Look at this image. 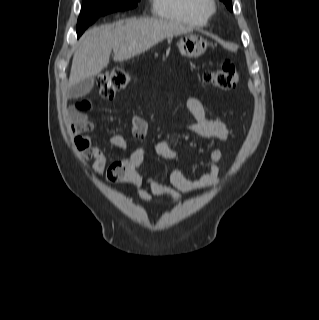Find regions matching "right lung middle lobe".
Returning a JSON list of instances; mask_svg holds the SVG:
<instances>
[{"label": "right lung middle lobe", "instance_id": "1", "mask_svg": "<svg viewBox=\"0 0 319 320\" xmlns=\"http://www.w3.org/2000/svg\"><path fill=\"white\" fill-rule=\"evenodd\" d=\"M139 0H83L77 23V36L91 25L99 16L135 8Z\"/></svg>", "mask_w": 319, "mask_h": 320}]
</instances>
